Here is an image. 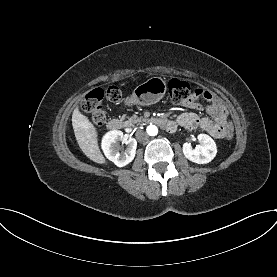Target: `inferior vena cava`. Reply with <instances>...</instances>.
<instances>
[{"label": "inferior vena cava", "instance_id": "602c4592", "mask_svg": "<svg viewBox=\"0 0 277 277\" xmlns=\"http://www.w3.org/2000/svg\"><path fill=\"white\" fill-rule=\"evenodd\" d=\"M136 137H137L138 141H140V142H146L149 139L148 134L143 130H138L136 132Z\"/></svg>", "mask_w": 277, "mask_h": 277}]
</instances>
